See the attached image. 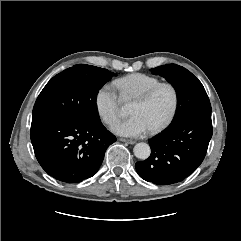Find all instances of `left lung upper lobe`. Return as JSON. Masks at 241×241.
<instances>
[{
  "mask_svg": "<svg viewBox=\"0 0 241 241\" xmlns=\"http://www.w3.org/2000/svg\"><path fill=\"white\" fill-rule=\"evenodd\" d=\"M152 72L165 77L177 92V111L168 128L197 114L211 112V104L203 85L187 69L176 64H167L153 68Z\"/></svg>",
  "mask_w": 241,
  "mask_h": 241,
  "instance_id": "left-lung-upper-lobe-1",
  "label": "left lung upper lobe"
}]
</instances>
